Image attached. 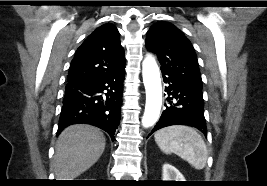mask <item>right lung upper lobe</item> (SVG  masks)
Returning a JSON list of instances; mask_svg holds the SVG:
<instances>
[{
    "label": "right lung upper lobe",
    "instance_id": "1",
    "mask_svg": "<svg viewBox=\"0 0 267 186\" xmlns=\"http://www.w3.org/2000/svg\"><path fill=\"white\" fill-rule=\"evenodd\" d=\"M125 64L119 32L112 24L97 28L77 49L67 81L104 73Z\"/></svg>",
    "mask_w": 267,
    "mask_h": 186
}]
</instances>
